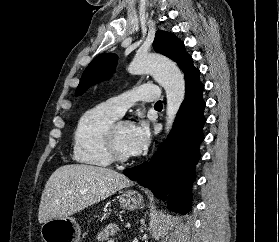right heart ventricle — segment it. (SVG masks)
Wrapping results in <instances>:
<instances>
[{
  "label": "right heart ventricle",
  "mask_w": 279,
  "mask_h": 242,
  "mask_svg": "<svg viewBox=\"0 0 279 242\" xmlns=\"http://www.w3.org/2000/svg\"><path fill=\"white\" fill-rule=\"evenodd\" d=\"M117 118L105 104L85 111L74 131V160L88 166L108 167L113 160L106 146L105 135Z\"/></svg>",
  "instance_id": "1"
}]
</instances>
